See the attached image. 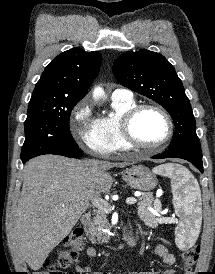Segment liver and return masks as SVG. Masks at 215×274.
Listing matches in <instances>:
<instances>
[{
  "instance_id": "1",
  "label": "liver",
  "mask_w": 215,
  "mask_h": 274,
  "mask_svg": "<svg viewBox=\"0 0 215 274\" xmlns=\"http://www.w3.org/2000/svg\"><path fill=\"white\" fill-rule=\"evenodd\" d=\"M125 166L127 163L54 155L27 162L14 219V240L31 269L39 270L90 202L109 191L113 179L106 171Z\"/></svg>"
}]
</instances>
